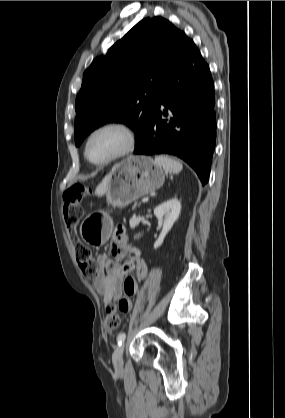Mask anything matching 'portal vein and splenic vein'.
<instances>
[{
  "mask_svg": "<svg viewBox=\"0 0 285 418\" xmlns=\"http://www.w3.org/2000/svg\"><path fill=\"white\" fill-rule=\"evenodd\" d=\"M148 200H149V198L148 197H145V198L142 199V202L143 203H146V202H148Z\"/></svg>",
  "mask_w": 285,
  "mask_h": 418,
  "instance_id": "1",
  "label": "portal vein and splenic vein"
}]
</instances>
